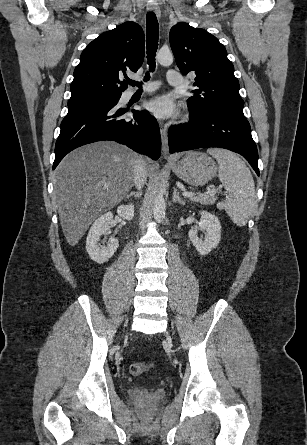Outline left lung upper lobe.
<instances>
[{"label":"left lung upper lobe","instance_id":"left-lung-upper-lobe-1","mask_svg":"<svg viewBox=\"0 0 307 445\" xmlns=\"http://www.w3.org/2000/svg\"><path fill=\"white\" fill-rule=\"evenodd\" d=\"M170 44L181 72L196 74L194 96L187 101L191 118L215 112L244 116L234 67L215 36L180 22L171 28Z\"/></svg>","mask_w":307,"mask_h":445}]
</instances>
